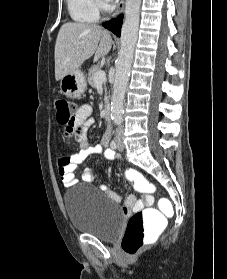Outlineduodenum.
Returning a JSON list of instances; mask_svg holds the SVG:
<instances>
[{
    "label": "duodenum",
    "mask_w": 227,
    "mask_h": 279,
    "mask_svg": "<svg viewBox=\"0 0 227 279\" xmlns=\"http://www.w3.org/2000/svg\"><path fill=\"white\" fill-rule=\"evenodd\" d=\"M112 113L111 106L107 105L103 108V116L106 119H110Z\"/></svg>",
    "instance_id": "duodenum-1"
}]
</instances>
